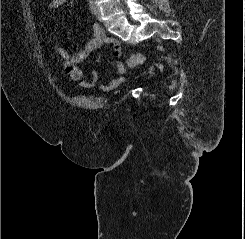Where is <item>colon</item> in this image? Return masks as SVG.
I'll list each match as a JSON object with an SVG mask.
<instances>
[{"label": "colon", "instance_id": "1", "mask_svg": "<svg viewBox=\"0 0 245 239\" xmlns=\"http://www.w3.org/2000/svg\"><path fill=\"white\" fill-rule=\"evenodd\" d=\"M144 60L145 57L143 55H134L129 59L128 63L130 66H134L143 63Z\"/></svg>", "mask_w": 245, "mask_h": 239}]
</instances>
